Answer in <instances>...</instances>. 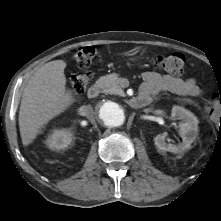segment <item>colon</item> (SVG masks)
<instances>
[{
    "label": "colon",
    "mask_w": 221,
    "mask_h": 221,
    "mask_svg": "<svg viewBox=\"0 0 221 221\" xmlns=\"http://www.w3.org/2000/svg\"><path fill=\"white\" fill-rule=\"evenodd\" d=\"M93 47H84L73 53V59L76 64L83 69L89 68L95 57ZM153 66L163 72L179 74L185 69V57L181 53L170 55H156L152 58ZM91 79V73L86 71L71 76L69 84L72 92L76 94L83 93ZM208 112L214 119L221 122V93L212 94L208 102Z\"/></svg>",
    "instance_id": "5ec220e1"
}]
</instances>
